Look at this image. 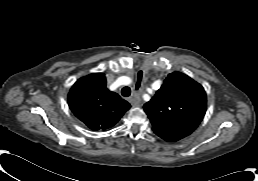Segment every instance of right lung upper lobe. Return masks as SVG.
Masks as SVG:
<instances>
[{
	"instance_id": "cb5924a9",
	"label": "right lung upper lobe",
	"mask_w": 258,
	"mask_h": 181,
	"mask_svg": "<svg viewBox=\"0 0 258 181\" xmlns=\"http://www.w3.org/2000/svg\"><path fill=\"white\" fill-rule=\"evenodd\" d=\"M68 104L74 115L92 130L115 125L130 104L106 87L103 73L80 78L71 88Z\"/></svg>"
}]
</instances>
